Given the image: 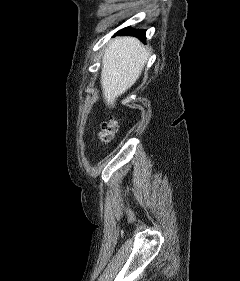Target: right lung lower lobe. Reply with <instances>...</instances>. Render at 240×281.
<instances>
[{
    "mask_svg": "<svg viewBox=\"0 0 240 281\" xmlns=\"http://www.w3.org/2000/svg\"><path fill=\"white\" fill-rule=\"evenodd\" d=\"M119 33L136 36L142 41L145 40V30H131L129 27H127L125 29H122Z\"/></svg>",
    "mask_w": 240,
    "mask_h": 281,
    "instance_id": "98d812e1",
    "label": "right lung lower lobe"
}]
</instances>
